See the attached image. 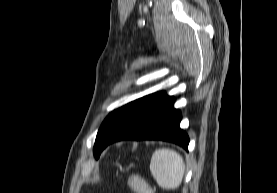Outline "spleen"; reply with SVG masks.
<instances>
[{
    "label": "spleen",
    "instance_id": "obj_1",
    "mask_svg": "<svg viewBox=\"0 0 277 193\" xmlns=\"http://www.w3.org/2000/svg\"><path fill=\"white\" fill-rule=\"evenodd\" d=\"M150 171L164 190L177 189L183 179L185 163L182 156L171 149L155 150L150 161Z\"/></svg>",
    "mask_w": 277,
    "mask_h": 193
}]
</instances>
